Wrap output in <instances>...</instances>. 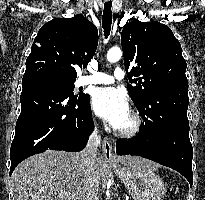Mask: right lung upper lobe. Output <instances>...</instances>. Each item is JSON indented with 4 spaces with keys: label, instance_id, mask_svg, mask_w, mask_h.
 <instances>
[{
    "label": "right lung upper lobe",
    "instance_id": "obj_1",
    "mask_svg": "<svg viewBox=\"0 0 205 200\" xmlns=\"http://www.w3.org/2000/svg\"><path fill=\"white\" fill-rule=\"evenodd\" d=\"M97 45V28L82 14L53 19L38 31L26 60L23 79L58 75L76 80V68L88 64Z\"/></svg>",
    "mask_w": 205,
    "mask_h": 200
}]
</instances>
